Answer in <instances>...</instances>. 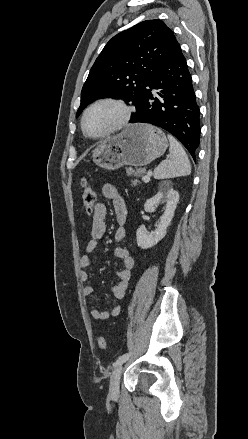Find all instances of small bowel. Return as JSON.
Wrapping results in <instances>:
<instances>
[{
  "label": "small bowel",
  "mask_w": 248,
  "mask_h": 439,
  "mask_svg": "<svg viewBox=\"0 0 248 439\" xmlns=\"http://www.w3.org/2000/svg\"><path fill=\"white\" fill-rule=\"evenodd\" d=\"M103 196L110 200L114 206L116 220L119 224L115 231V241L118 246L114 250V255L122 262V268L116 271L118 278L117 282L112 286L111 291L115 299H122L128 289L131 279L132 269L134 268L135 261L130 255L129 250L126 247L120 246L122 241L126 237V229L124 227L127 220V206L123 196L117 190V188L111 184H105L102 188ZM107 209L105 204L98 202L95 205L90 239L86 244V254L80 258L79 265L80 280L86 283L89 280V274L86 269L91 265V259L89 254L96 251L100 240L103 238L106 231L105 218ZM93 293V287L90 285H84L82 288V294L84 296H90ZM121 307L119 305L114 306L110 311H102L98 308H92L90 310L91 316L96 320H107L111 317L119 315Z\"/></svg>",
  "instance_id": "c3829d8e"
}]
</instances>
